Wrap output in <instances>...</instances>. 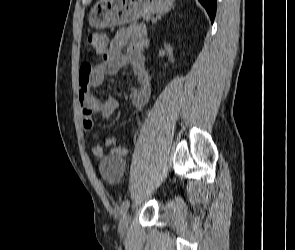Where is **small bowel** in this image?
I'll use <instances>...</instances> for the list:
<instances>
[{"label":"small bowel","mask_w":295,"mask_h":250,"mask_svg":"<svg viewBox=\"0 0 295 250\" xmlns=\"http://www.w3.org/2000/svg\"><path fill=\"white\" fill-rule=\"evenodd\" d=\"M105 46L97 53L101 55L98 63L83 62L79 72V101L83 130L91 133L94 128L92 115L96 114L102 120H108L119 107L118 101L112 97L103 100L92 94L107 75L129 68L136 84L130 93L132 106L141 111L148 102L151 93V77L146 69L143 49L147 44V33L141 25H131L116 31ZM126 52H123L124 48ZM105 146L115 155H123L126 150L116 144L115 138H108ZM96 157H102L103 148L99 145L92 150Z\"/></svg>","instance_id":"small-bowel-1"}]
</instances>
